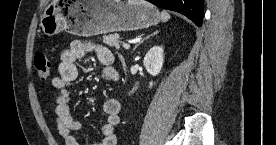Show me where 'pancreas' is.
I'll return each instance as SVG.
<instances>
[{
	"mask_svg": "<svg viewBox=\"0 0 276 145\" xmlns=\"http://www.w3.org/2000/svg\"><path fill=\"white\" fill-rule=\"evenodd\" d=\"M103 42L110 47H114L115 49H120V40L118 34L104 35Z\"/></svg>",
	"mask_w": 276,
	"mask_h": 145,
	"instance_id": "pancreas-1",
	"label": "pancreas"
}]
</instances>
